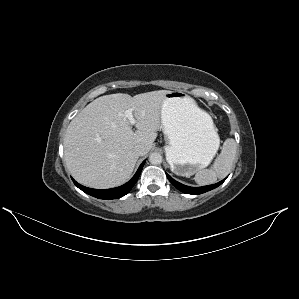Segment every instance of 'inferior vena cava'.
<instances>
[{
    "instance_id": "1",
    "label": "inferior vena cava",
    "mask_w": 299,
    "mask_h": 299,
    "mask_svg": "<svg viewBox=\"0 0 299 299\" xmlns=\"http://www.w3.org/2000/svg\"><path fill=\"white\" fill-rule=\"evenodd\" d=\"M134 152L138 155V156H143L146 153V148L143 145H137L134 148Z\"/></svg>"
}]
</instances>
